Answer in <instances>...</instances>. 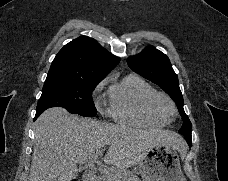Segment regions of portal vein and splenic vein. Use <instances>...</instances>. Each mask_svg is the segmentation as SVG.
<instances>
[{"instance_id": "1", "label": "portal vein and splenic vein", "mask_w": 228, "mask_h": 181, "mask_svg": "<svg viewBox=\"0 0 228 181\" xmlns=\"http://www.w3.org/2000/svg\"><path fill=\"white\" fill-rule=\"evenodd\" d=\"M100 155H103V151H98V153H96V157H92V159H89L88 165H94V163H97V159L98 157H100Z\"/></svg>"}]
</instances>
